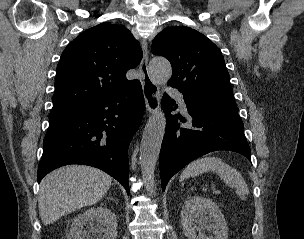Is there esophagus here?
<instances>
[{"label": "esophagus", "instance_id": "1", "mask_svg": "<svg viewBox=\"0 0 304 239\" xmlns=\"http://www.w3.org/2000/svg\"><path fill=\"white\" fill-rule=\"evenodd\" d=\"M140 73L142 75V89L147 111L152 114L159 109V89L157 84L151 79L148 69V47L143 44V57L140 63Z\"/></svg>", "mask_w": 304, "mask_h": 239}]
</instances>
